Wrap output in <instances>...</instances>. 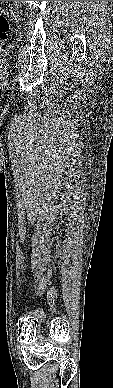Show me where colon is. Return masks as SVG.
Listing matches in <instances>:
<instances>
[{"instance_id":"5ec220e1","label":"colon","mask_w":113,"mask_h":388,"mask_svg":"<svg viewBox=\"0 0 113 388\" xmlns=\"http://www.w3.org/2000/svg\"><path fill=\"white\" fill-rule=\"evenodd\" d=\"M9 22L4 12L0 11V46L8 38Z\"/></svg>"}]
</instances>
